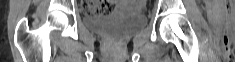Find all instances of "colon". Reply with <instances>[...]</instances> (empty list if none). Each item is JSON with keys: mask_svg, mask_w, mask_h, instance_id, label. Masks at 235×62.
<instances>
[{"mask_svg": "<svg viewBox=\"0 0 235 62\" xmlns=\"http://www.w3.org/2000/svg\"><path fill=\"white\" fill-rule=\"evenodd\" d=\"M140 5L142 6L144 4L143 0L139 1ZM88 10L93 13V14H101L102 13V9L100 7L97 8H88Z\"/></svg>", "mask_w": 235, "mask_h": 62, "instance_id": "1", "label": "colon"}]
</instances>
